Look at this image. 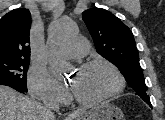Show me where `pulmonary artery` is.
Listing matches in <instances>:
<instances>
[{
    "label": "pulmonary artery",
    "mask_w": 165,
    "mask_h": 120,
    "mask_svg": "<svg viewBox=\"0 0 165 120\" xmlns=\"http://www.w3.org/2000/svg\"><path fill=\"white\" fill-rule=\"evenodd\" d=\"M88 51V44L83 39H74L60 48V52L65 56L81 57Z\"/></svg>",
    "instance_id": "e3ab8cb5"
}]
</instances>
